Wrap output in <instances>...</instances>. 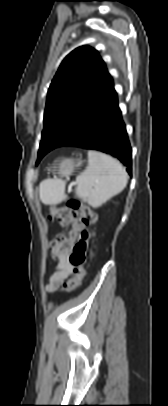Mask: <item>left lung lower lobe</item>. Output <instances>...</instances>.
Segmentation results:
<instances>
[{"label":"left lung lower lobe","mask_w":168,"mask_h":406,"mask_svg":"<svg viewBox=\"0 0 168 406\" xmlns=\"http://www.w3.org/2000/svg\"><path fill=\"white\" fill-rule=\"evenodd\" d=\"M62 145L99 150L131 166V147L113 83L94 106L81 129ZM131 174V168L126 169Z\"/></svg>","instance_id":"1"}]
</instances>
